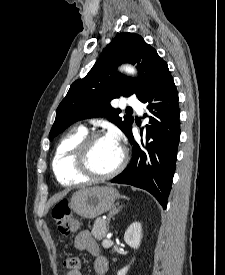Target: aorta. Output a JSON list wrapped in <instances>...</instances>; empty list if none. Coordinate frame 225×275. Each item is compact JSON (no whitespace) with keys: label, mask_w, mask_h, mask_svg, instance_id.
Segmentation results:
<instances>
[{"label":"aorta","mask_w":225,"mask_h":275,"mask_svg":"<svg viewBox=\"0 0 225 275\" xmlns=\"http://www.w3.org/2000/svg\"><path fill=\"white\" fill-rule=\"evenodd\" d=\"M122 70L131 75H134L136 73L135 69L131 66H124Z\"/></svg>","instance_id":"762f6f07"}]
</instances>
